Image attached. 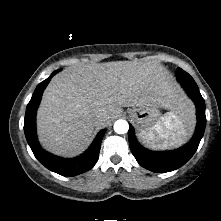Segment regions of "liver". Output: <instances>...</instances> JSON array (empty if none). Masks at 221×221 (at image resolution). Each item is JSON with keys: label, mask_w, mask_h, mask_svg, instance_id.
Wrapping results in <instances>:
<instances>
[{"label": "liver", "mask_w": 221, "mask_h": 221, "mask_svg": "<svg viewBox=\"0 0 221 221\" xmlns=\"http://www.w3.org/2000/svg\"><path fill=\"white\" fill-rule=\"evenodd\" d=\"M159 107L183 113L193 109L163 67L117 61L73 66L54 76L37 112L39 141L49 152L74 157L87 149L95 127L121 113V107ZM105 115L96 122V115Z\"/></svg>", "instance_id": "1"}]
</instances>
